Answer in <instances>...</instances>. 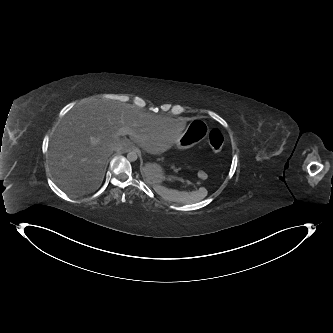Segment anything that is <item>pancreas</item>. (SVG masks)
Masks as SVG:
<instances>
[{
    "instance_id": "cf45deb5",
    "label": "pancreas",
    "mask_w": 333,
    "mask_h": 333,
    "mask_svg": "<svg viewBox=\"0 0 333 333\" xmlns=\"http://www.w3.org/2000/svg\"><path fill=\"white\" fill-rule=\"evenodd\" d=\"M172 168L174 169V171H178V169H176L174 166H172Z\"/></svg>"
}]
</instances>
